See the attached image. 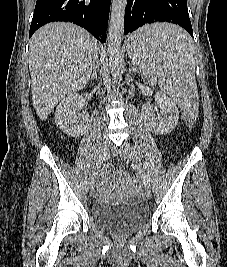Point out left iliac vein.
<instances>
[{
    "mask_svg": "<svg viewBox=\"0 0 227 267\" xmlns=\"http://www.w3.org/2000/svg\"><path fill=\"white\" fill-rule=\"evenodd\" d=\"M121 155L124 158H127L128 160L131 161V163L135 166V168L138 172V175L142 180L144 187L148 191H150L151 187H152L151 181H150L149 177L146 175L144 168L142 166L141 160L138 157L134 147H132L128 143H125L124 148L121 150Z\"/></svg>",
    "mask_w": 227,
    "mask_h": 267,
    "instance_id": "1",
    "label": "left iliac vein"
}]
</instances>
